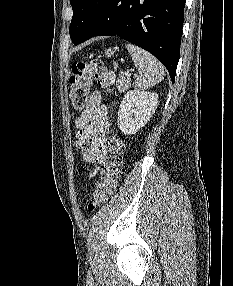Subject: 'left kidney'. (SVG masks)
<instances>
[{"mask_svg": "<svg viewBox=\"0 0 233 286\" xmlns=\"http://www.w3.org/2000/svg\"><path fill=\"white\" fill-rule=\"evenodd\" d=\"M158 106L156 93L133 90L127 92L120 104L117 124L125 135L138 132L152 117Z\"/></svg>", "mask_w": 233, "mask_h": 286, "instance_id": "5707ae66", "label": "left kidney"}]
</instances>
